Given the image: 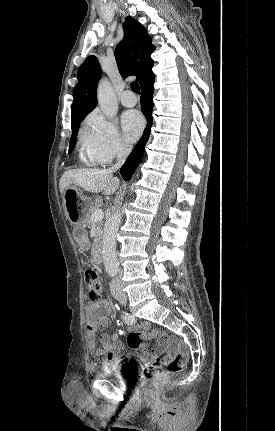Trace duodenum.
<instances>
[{"mask_svg":"<svg viewBox=\"0 0 275 431\" xmlns=\"http://www.w3.org/2000/svg\"><path fill=\"white\" fill-rule=\"evenodd\" d=\"M92 257L93 261L96 264H101L103 262V249H102V243L100 240H98L92 248Z\"/></svg>","mask_w":275,"mask_h":431,"instance_id":"duodenum-1","label":"duodenum"}]
</instances>
